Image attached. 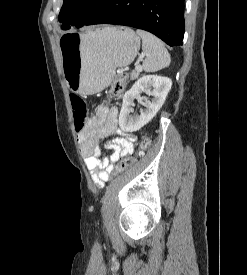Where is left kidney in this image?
Segmentation results:
<instances>
[{
    "label": "left kidney",
    "mask_w": 247,
    "mask_h": 275,
    "mask_svg": "<svg viewBox=\"0 0 247 275\" xmlns=\"http://www.w3.org/2000/svg\"><path fill=\"white\" fill-rule=\"evenodd\" d=\"M172 86V81L168 77L159 75H144L138 79L132 88L123 96V103L119 115V126L123 131L134 132L141 129L151 121L165 102ZM154 90L151 92L150 88ZM145 91L154 98L152 101H146V109L141 110L140 115H130L131 107L134 105L135 98Z\"/></svg>",
    "instance_id": "5707ae66"
}]
</instances>
